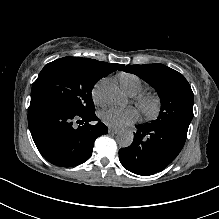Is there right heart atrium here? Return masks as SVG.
<instances>
[{
    "label": "right heart atrium",
    "instance_id": "1",
    "mask_svg": "<svg viewBox=\"0 0 219 219\" xmlns=\"http://www.w3.org/2000/svg\"><path fill=\"white\" fill-rule=\"evenodd\" d=\"M107 83V79L102 78L98 82H96L90 91V96L92 101L100 105L104 102V88Z\"/></svg>",
    "mask_w": 219,
    "mask_h": 219
}]
</instances>
